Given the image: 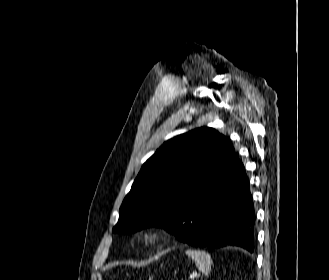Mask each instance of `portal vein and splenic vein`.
<instances>
[{"label": "portal vein and splenic vein", "mask_w": 329, "mask_h": 280, "mask_svg": "<svg viewBox=\"0 0 329 280\" xmlns=\"http://www.w3.org/2000/svg\"><path fill=\"white\" fill-rule=\"evenodd\" d=\"M194 277H195V275H194V274L190 276V278H191V279H194Z\"/></svg>", "instance_id": "portal-vein-and-splenic-vein-1"}]
</instances>
